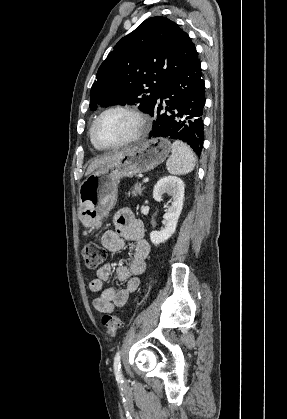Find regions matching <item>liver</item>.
<instances>
[{"instance_id":"6515ba94","label":"liver","mask_w":287,"mask_h":419,"mask_svg":"<svg viewBox=\"0 0 287 419\" xmlns=\"http://www.w3.org/2000/svg\"><path fill=\"white\" fill-rule=\"evenodd\" d=\"M127 150L128 149L121 150V151H116V152L109 153V154H106L104 156H101L99 158L94 159L90 163V165L88 166L87 171H86V175L91 174L94 170H96L100 166H102V165H104V164H106V163H108V162H110V161L118 158L119 156H121L122 154H124V152H126Z\"/></svg>"}]
</instances>
